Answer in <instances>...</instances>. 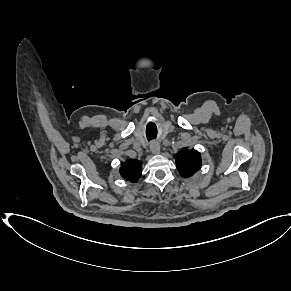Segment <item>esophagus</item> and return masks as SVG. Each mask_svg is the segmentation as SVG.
Returning <instances> with one entry per match:
<instances>
[{"mask_svg":"<svg viewBox=\"0 0 291 291\" xmlns=\"http://www.w3.org/2000/svg\"><path fill=\"white\" fill-rule=\"evenodd\" d=\"M150 150L153 154H159L160 153V144L156 141L152 142L150 144Z\"/></svg>","mask_w":291,"mask_h":291,"instance_id":"esophagus-1","label":"esophagus"}]
</instances>
